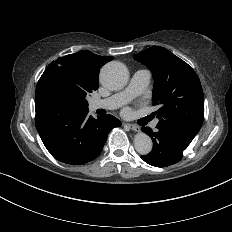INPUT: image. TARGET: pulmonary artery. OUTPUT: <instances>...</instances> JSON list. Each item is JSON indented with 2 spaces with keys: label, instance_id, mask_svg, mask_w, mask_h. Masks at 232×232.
<instances>
[{
  "label": "pulmonary artery",
  "instance_id": "1",
  "mask_svg": "<svg viewBox=\"0 0 232 232\" xmlns=\"http://www.w3.org/2000/svg\"><path fill=\"white\" fill-rule=\"evenodd\" d=\"M154 79V73L149 68L138 70L130 78V85L123 92L107 97L104 99H93L91 106L93 110L96 109H118L126 108L130 103L134 102L138 98L142 97L145 93L146 84H149ZM157 124V121L153 122V126Z\"/></svg>",
  "mask_w": 232,
  "mask_h": 232
}]
</instances>
